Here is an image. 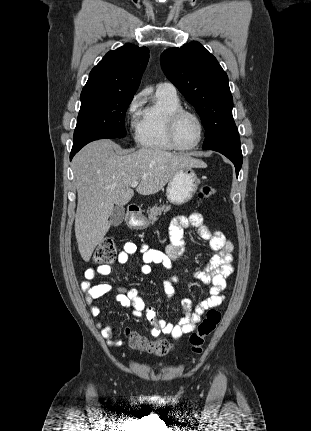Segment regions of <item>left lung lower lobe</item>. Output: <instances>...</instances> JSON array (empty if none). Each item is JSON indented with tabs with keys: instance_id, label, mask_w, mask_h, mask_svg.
Here are the masks:
<instances>
[{
	"instance_id": "1",
	"label": "left lung lower lobe",
	"mask_w": 311,
	"mask_h": 431,
	"mask_svg": "<svg viewBox=\"0 0 311 431\" xmlns=\"http://www.w3.org/2000/svg\"><path fill=\"white\" fill-rule=\"evenodd\" d=\"M209 150L220 152L221 154L225 155L228 159H230L235 166L236 176H238V173L241 169L242 161H243L240 144H227V145L218 146Z\"/></svg>"
}]
</instances>
